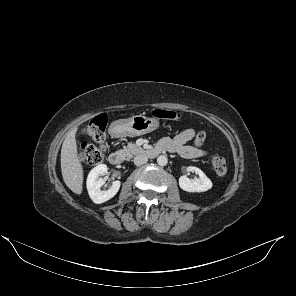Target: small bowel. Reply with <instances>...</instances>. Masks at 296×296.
Returning a JSON list of instances; mask_svg holds the SVG:
<instances>
[{"label": "small bowel", "instance_id": "c3829d8e", "mask_svg": "<svg viewBox=\"0 0 296 296\" xmlns=\"http://www.w3.org/2000/svg\"><path fill=\"white\" fill-rule=\"evenodd\" d=\"M196 135L193 128L185 129L175 135L173 138L165 137L160 140L159 145L164 147L166 151L175 153L186 159L201 158L207 155L204 149L188 145Z\"/></svg>", "mask_w": 296, "mask_h": 296}]
</instances>
